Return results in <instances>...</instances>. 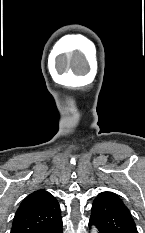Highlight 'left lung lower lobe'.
I'll return each instance as SVG.
<instances>
[{"label":"left lung lower lobe","instance_id":"obj_1","mask_svg":"<svg viewBox=\"0 0 145 233\" xmlns=\"http://www.w3.org/2000/svg\"><path fill=\"white\" fill-rule=\"evenodd\" d=\"M89 225L91 226V225H94V224L92 223V221H89ZM99 233H102V232L99 230Z\"/></svg>","mask_w":145,"mask_h":233}]
</instances>
